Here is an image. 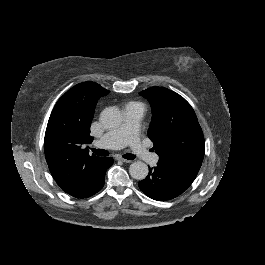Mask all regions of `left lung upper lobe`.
Wrapping results in <instances>:
<instances>
[{
	"label": "left lung upper lobe",
	"instance_id": "obj_1",
	"mask_svg": "<svg viewBox=\"0 0 265 265\" xmlns=\"http://www.w3.org/2000/svg\"><path fill=\"white\" fill-rule=\"evenodd\" d=\"M153 110L148 136L159 162L200 169L205 142L191 105L179 94L161 87L140 92Z\"/></svg>",
	"mask_w": 265,
	"mask_h": 265
}]
</instances>
